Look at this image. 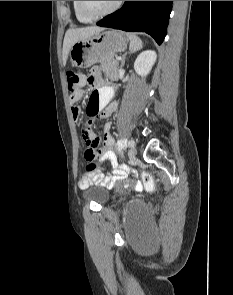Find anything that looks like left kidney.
<instances>
[{
	"mask_svg": "<svg viewBox=\"0 0 233 295\" xmlns=\"http://www.w3.org/2000/svg\"><path fill=\"white\" fill-rule=\"evenodd\" d=\"M157 54L153 50H146L141 52L135 60L134 69L141 77L147 76L154 63L156 62Z\"/></svg>",
	"mask_w": 233,
	"mask_h": 295,
	"instance_id": "left-kidney-1",
	"label": "left kidney"
}]
</instances>
